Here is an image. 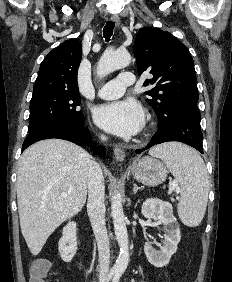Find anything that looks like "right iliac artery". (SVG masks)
Instances as JSON below:
<instances>
[{"label":"right iliac artery","mask_w":232,"mask_h":282,"mask_svg":"<svg viewBox=\"0 0 232 282\" xmlns=\"http://www.w3.org/2000/svg\"><path fill=\"white\" fill-rule=\"evenodd\" d=\"M114 276V271H111L109 274H108V277H107V282H109V280Z\"/></svg>","instance_id":"obj_1"}]
</instances>
